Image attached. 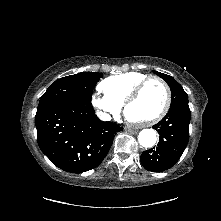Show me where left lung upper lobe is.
Masks as SVG:
<instances>
[{"instance_id":"left-lung-upper-lobe-1","label":"left lung upper lobe","mask_w":221,"mask_h":221,"mask_svg":"<svg viewBox=\"0 0 221 221\" xmlns=\"http://www.w3.org/2000/svg\"><path fill=\"white\" fill-rule=\"evenodd\" d=\"M156 75L164 79L169 85L172 93V100L170 106L186 105L188 104V95L183 90L182 86L172 77L157 71H153Z\"/></svg>"}]
</instances>
